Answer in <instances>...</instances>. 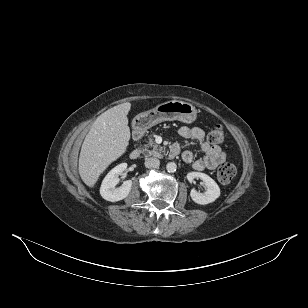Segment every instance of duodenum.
Listing matches in <instances>:
<instances>
[{
	"instance_id": "1",
	"label": "duodenum",
	"mask_w": 308,
	"mask_h": 308,
	"mask_svg": "<svg viewBox=\"0 0 308 308\" xmlns=\"http://www.w3.org/2000/svg\"><path fill=\"white\" fill-rule=\"evenodd\" d=\"M144 129L142 126L137 125L134 129L133 132V137L135 140H139L141 138V136L143 135ZM179 153V148L177 145H172L170 150H169V156L170 157H175L176 155H178ZM130 159L132 160H136L139 158L140 156V150L139 149H134L130 152Z\"/></svg>"
}]
</instances>
